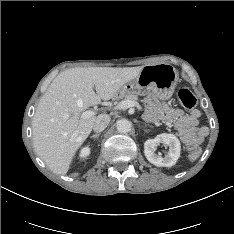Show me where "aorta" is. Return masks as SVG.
Here are the masks:
<instances>
[{"label":"aorta","mask_w":234,"mask_h":234,"mask_svg":"<svg viewBox=\"0 0 234 234\" xmlns=\"http://www.w3.org/2000/svg\"><path fill=\"white\" fill-rule=\"evenodd\" d=\"M116 128L120 133H127L130 131L131 122L127 119H120L116 123Z\"/></svg>","instance_id":"aorta-1"}]
</instances>
